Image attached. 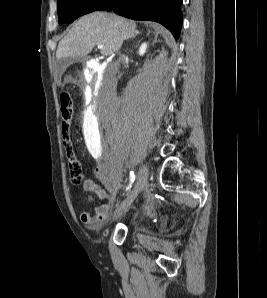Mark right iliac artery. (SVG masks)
<instances>
[{
  "label": "right iliac artery",
  "instance_id": "1",
  "mask_svg": "<svg viewBox=\"0 0 267 298\" xmlns=\"http://www.w3.org/2000/svg\"><path fill=\"white\" fill-rule=\"evenodd\" d=\"M134 180H135V175H134V173L131 171V172H130V184H129V186L127 187V190H129V189L131 188V186H132ZM123 195H124V194H123Z\"/></svg>",
  "mask_w": 267,
  "mask_h": 298
}]
</instances>
